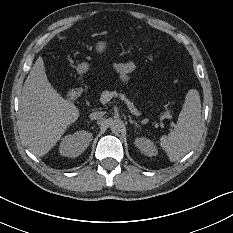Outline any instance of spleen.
Listing matches in <instances>:
<instances>
[{
  "instance_id": "spleen-1",
  "label": "spleen",
  "mask_w": 233,
  "mask_h": 233,
  "mask_svg": "<svg viewBox=\"0 0 233 233\" xmlns=\"http://www.w3.org/2000/svg\"><path fill=\"white\" fill-rule=\"evenodd\" d=\"M201 102L196 89L187 91L179 113L178 123L167 137L161 139L162 147L169 158L176 161L187 154L199 142Z\"/></svg>"
}]
</instances>
